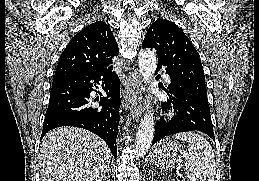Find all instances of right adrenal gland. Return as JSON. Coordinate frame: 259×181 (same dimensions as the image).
I'll list each match as a JSON object with an SVG mask.
<instances>
[{
    "label": "right adrenal gland",
    "instance_id": "obj_1",
    "mask_svg": "<svg viewBox=\"0 0 259 181\" xmlns=\"http://www.w3.org/2000/svg\"><path fill=\"white\" fill-rule=\"evenodd\" d=\"M102 181H110L109 180V172H108V175L106 177H104Z\"/></svg>",
    "mask_w": 259,
    "mask_h": 181
}]
</instances>
